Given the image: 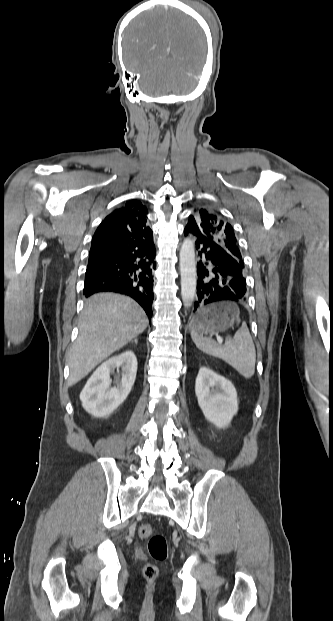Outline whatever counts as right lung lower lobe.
Here are the masks:
<instances>
[{
  "label": "right lung lower lobe",
  "instance_id": "1",
  "mask_svg": "<svg viewBox=\"0 0 333 621\" xmlns=\"http://www.w3.org/2000/svg\"><path fill=\"white\" fill-rule=\"evenodd\" d=\"M154 244L141 251L104 249L90 252L84 295L111 291L135 299L152 316Z\"/></svg>",
  "mask_w": 333,
  "mask_h": 621
}]
</instances>
